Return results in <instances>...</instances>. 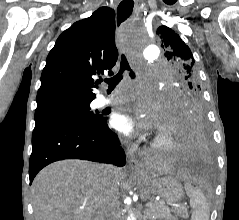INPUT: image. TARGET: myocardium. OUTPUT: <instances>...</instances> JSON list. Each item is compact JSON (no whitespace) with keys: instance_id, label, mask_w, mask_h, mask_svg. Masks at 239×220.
Returning a JSON list of instances; mask_svg holds the SVG:
<instances>
[{"instance_id":"f54148a6","label":"myocardium","mask_w":239,"mask_h":220,"mask_svg":"<svg viewBox=\"0 0 239 220\" xmlns=\"http://www.w3.org/2000/svg\"><path fill=\"white\" fill-rule=\"evenodd\" d=\"M175 138L170 131H163L160 137H157L150 145L153 151H165L174 148Z\"/></svg>"}]
</instances>
